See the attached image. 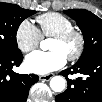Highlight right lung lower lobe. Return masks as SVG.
<instances>
[{"mask_svg":"<svg viewBox=\"0 0 102 102\" xmlns=\"http://www.w3.org/2000/svg\"><path fill=\"white\" fill-rule=\"evenodd\" d=\"M23 60L20 52L0 54V99L2 102H26L30 87L39 78L37 75L17 74L13 66H19Z\"/></svg>","mask_w":102,"mask_h":102,"instance_id":"obj_1","label":"right lung lower lobe"}]
</instances>
